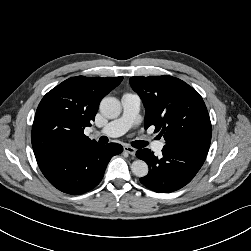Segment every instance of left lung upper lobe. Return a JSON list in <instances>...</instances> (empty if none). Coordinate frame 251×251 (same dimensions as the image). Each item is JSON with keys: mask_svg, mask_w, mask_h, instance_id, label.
<instances>
[{"mask_svg": "<svg viewBox=\"0 0 251 251\" xmlns=\"http://www.w3.org/2000/svg\"><path fill=\"white\" fill-rule=\"evenodd\" d=\"M130 84L146 109L145 129L154 125L155 132L160 130L165 147L193 149L207 155L211 122L198 92L168 75L131 77Z\"/></svg>", "mask_w": 251, "mask_h": 251, "instance_id": "1", "label": "left lung upper lobe"}]
</instances>
